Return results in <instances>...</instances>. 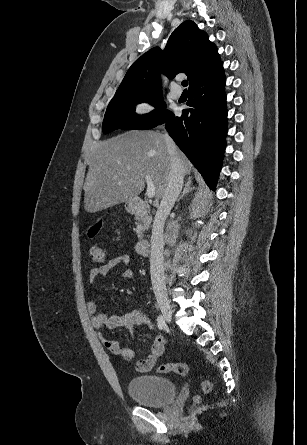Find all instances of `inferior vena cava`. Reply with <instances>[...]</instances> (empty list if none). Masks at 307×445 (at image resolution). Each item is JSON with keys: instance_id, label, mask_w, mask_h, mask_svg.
I'll use <instances>...</instances> for the list:
<instances>
[{"instance_id": "obj_1", "label": "inferior vena cava", "mask_w": 307, "mask_h": 445, "mask_svg": "<svg viewBox=\"0 0 307 445\" xmlns=\"http://www.w3.org/2000/svg\"><path fill=\"white\" fill-rule=\"evenodd\" d=\"M167 152L171 156V166L167 178V186L163 192L162 200L155 214L152 237H151V255H150V275L153 291L156 295L158 304H167L168 296L165 285L164 267H163V247H164V225L168 212L179 196L184 180V164L177 152V146L169 136L168 132L164 134Z\"/></svg>"}]
</instances>
